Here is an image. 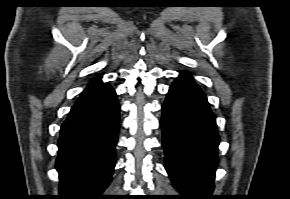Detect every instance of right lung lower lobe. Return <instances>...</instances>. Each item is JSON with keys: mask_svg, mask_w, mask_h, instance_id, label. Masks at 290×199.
<instances>
[{"mask_svg": "<svg viewBox=\"0 0 290 199\" xmlns=\"http://www.w3.org/2000/svg\"><path fill=\"white\" fill-rule=\"evenodd\" d=\"M119 112L109 84L100 81L81 93L61 126L57 199H103L116 163Z\"/></svg>", "mask_w": 290, "mask_h": 199, "instance_id": "98d812e1", "label": "right lung lower lobe"}]
</instances>
